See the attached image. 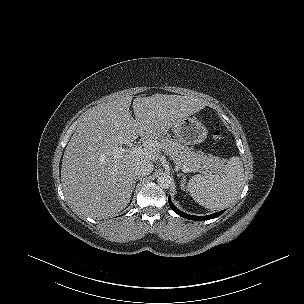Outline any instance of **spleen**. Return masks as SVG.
I'll return each mask as SVG.
<instances>
[{"label":"spleen","instance_id":"1","mask_svg":"<svg viewBox=\"0 0 304 304\" xmlns=\"http://www.w3.org/2000/svg\"><path fill=\"white\" fill-rule=\"evenodd\" d=\"M244 168L240 157H231L219 174L193 176L188 191L195 202L210 210L232 204L244 186Z\"/></svg>","mask_w":304,"mask_h":304}]
</instances>
